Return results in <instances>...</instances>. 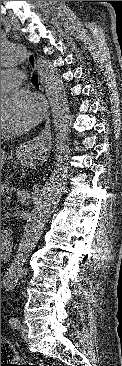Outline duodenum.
Wrapping results in <instances>:
<instances>
[{"mask_svg": "<svg viewBox=\"0 0 122 366\" xmlns=\"http://www.w3.org/2000/svg\"><path fill=\"white\" fill-rule=\"evenodd\" d=\"M12 248V235L9 233L1 234V253L8 252Z\"/></svg>", "mask_w": 122, "mask_h": 366, "instance_id": "obj_1", "label": "duodenum"}]
</instances>
